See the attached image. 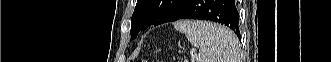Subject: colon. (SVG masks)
<instances>
[{
	"label": "colon",
	"instance_id": "1",
	"mask_svg": "<svg viewBox=\"0 0 331 62\" xmlns=\"http://www.w3.org/2000/svg\"><path fill=\"white\" fill-rule=\"evenodd\" d=\"M137 62H147V61L144 59H141V60H138Z\"/></svg>",
	"mask_w": 331,
	"mask_h": 62
}]
</instances>
